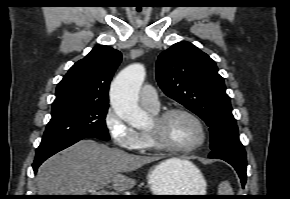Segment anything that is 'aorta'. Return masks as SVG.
<instances>
[{
	"instance_id": "aorta-1",
	"label": "aorta",
	"mask_w": 290,
	"mask_h": 199,
	"mask_svg": "<svg viewBox=\"0 0 290 199\" xmlns=\"http://www.w3.org/2000/svg\"><path fill=\"white\" fill-rule=\"evenodd\" d=\"M145 75L143 65H130L116 76L110 89V101L114 111L135 128L146 127L150 121L148 114L138 105V93Z\"/></svg>"
}]
</instances>
